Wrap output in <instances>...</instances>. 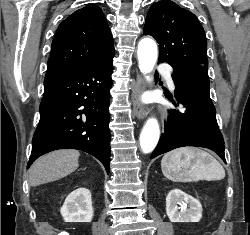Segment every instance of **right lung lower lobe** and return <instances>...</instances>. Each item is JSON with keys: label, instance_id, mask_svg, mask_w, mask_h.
<instances>
[{"label": "right lung lower lobe", "instance_id": "obj_1", "mask_svg": "<svg viewBox=\"0 0 250 235\" xmlns=\"http://www.w3.org/2000/svg\"><path fill=\"white\" fill-rule=\"evenodd\" d=\"M114 51L72 72L45 76L27 167L57 149H79L110 171L109 100Z\"/></svg>", "mask_w": 250, "mask_h": 235}]
</instances>
